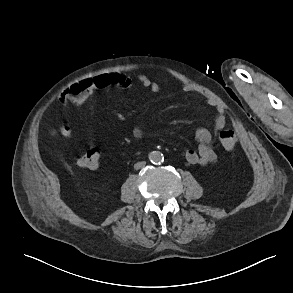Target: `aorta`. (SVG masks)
Masks as SVG:
<instances>
[{"mask_svg":"<svg viewBox=\"0 0 293 293\" xmlns=\"http://www.w3.org/2000/svg\"><path fill=\"white\" fill-rule=\"evenodd\" d=\"M163 154L159 151H153L149 154V160L153 164H160L163 161Z\"/></svg>","mask_w":293,"mask_h":293,"instance_id":"762f6f07","label":"aorta"}]
</instances>
